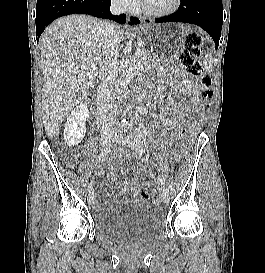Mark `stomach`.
<instances>
[{
	"mask_svg": "<svg viewBox=\"0 0 265 273\" xmlns=\"http://www.w3.org/2000/svg\"><path fill=\"white\" fill-rule=\"evenodd\" d=\"M187 30H195V25H155L136 29L133 33L138 37V44H133V49H147L140 55L142 64H172L176 51L165 50L177 49Z\"/></svg>",
	"mask_w": 265,
	"mask_h": 273,
	"instance_id": "obj_1",
	"label": "stomach"
}]
</instances>
